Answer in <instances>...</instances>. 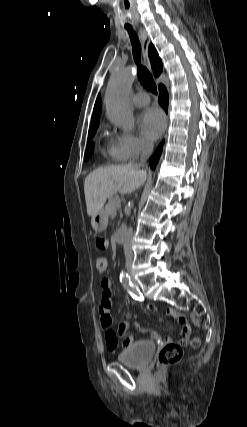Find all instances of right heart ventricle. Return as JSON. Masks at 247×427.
Returning a JSON list of instances; mask_svg holds the SVG:
<instances>
[{
	"label": "right heart ventricle",
	"mask_w": 247,
	"mask_h": 427,
	"mask_svg": "<svg viewBox=\"0 0 247 427\" xmlns=\"http://www.w3.org/2000/svg\"><path fill=\"white\" fill-rule=\"evenodd\" d=\"M108 153H109V155H110L112 158H114V159H116V160H117L113 146H111V147L109 148Z\"/></svg>",
	"instance_id": "right-heart-ventricle-1"
}]
</instances>
